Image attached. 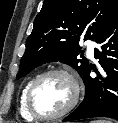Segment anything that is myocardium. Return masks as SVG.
<instances>
[{"label": "myocardium", "mask_w": 118, "mask_h": 123, "mask_svg": "<svg viewBox=\"0 0 118 123\" xmlns=\"http://www.w3.org/2000/svg\"><path fill=\"white\" fill-rule=\"evenodd\" d=\"M52 75H63L65 76L71 83L73 88V94L72 98L69 102V104L59 113L54 115H42L40 114L35 106H34V93L38 87V85L44 81L46 78ZM81 94V85L78 76L72 71L67 68H53L50 69L42 74H40L38 77L34 79V81L31 83L27 96H26V105L29 113L37 120L41 121H52V120H58L65 115H67L70 111L73 110V108L77 105L79 98Z\"/></svg>", "instance_id": "1"}]
</instances>
